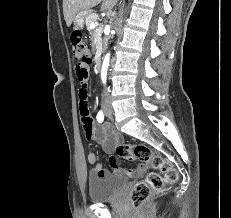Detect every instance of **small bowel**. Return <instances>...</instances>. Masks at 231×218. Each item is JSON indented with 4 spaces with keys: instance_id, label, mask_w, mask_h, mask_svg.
<instances>
[{
    "instance_id": "obj_1",
    "label": "small bowel",
    "mask_w": 231,
    "mask_h": 218,
    "mask_svg": "<svg viewBox=\"0 0 231 218\" xmlns=\"http://www.w3.org/2000/svg\"><path fill=\"white\" fill-rule=\"evenodd\" d=\"M90 64L89 60H80V63H75V75L81 83V88L79 90V107L80 112L83 117V129L85 136L88 139H95L100 142L103 146L105 152L110 154L109 164L112 171L116 175L125 176L128 178L136 177L144 173L147 169V165L141 163L132 169L120 168L116 158L111 155L114 150L121 144L120 135L113 129L112 126L105 124L100 128H96L93 124V120L90 117V109L88 103V90L87 81L91 70L88 69ZM87 161L89 164L93 165V173L98 176H108L109 171L105 169L101 164L97 163V156L95 153H89L87 156Z\"/></svg>"
}]
</instances>
